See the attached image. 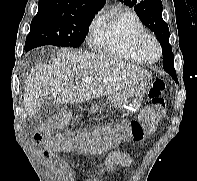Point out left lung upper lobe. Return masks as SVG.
<instances>
[{
  "mask_svg": "<svg viewBox=\"0 0 197 181\" xmlns=\"http://www.w3.org/2000/svg\"><path fill=\"white\" fill-rule=\"evenodd\" d=\"M129 7H134L140 20L152 30L162 47L163 68L178 82L174 69V55L172 47L169 44V28L162 18V2L161 0H120Z\"/></svg>",
  "mask_w": 197,
  "mask_h": 181,
  "instance_id": "1",
  "label": "left lung upper lobe"
}]
</instances>
